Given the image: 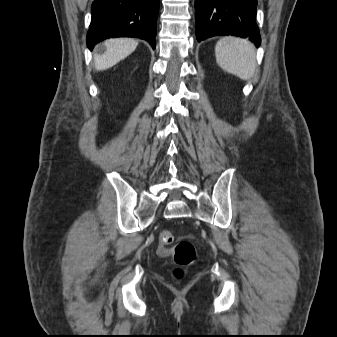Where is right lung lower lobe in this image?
I'll return each mask as SVG.
<instances>
[{
    "label": "right lung lower lobe",
    "instance_id": "98d812e1",
    "mask_svg": "<svg viewBox=\"0 0 337 337\" xmlns=\"http://www.w3.org/2000/svg\"><path fill=\"white\" fill-rule=\"evenodd\" d=\"M160 0H94L87 34L90 50L114 37H137L156 46V26Z\"/></svg>",
    "mask_w": 337,
    "mask_h": 337
}]
</instances>
